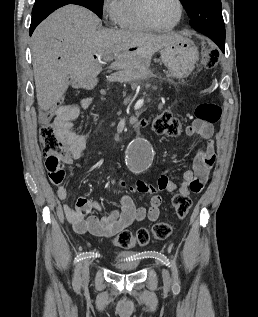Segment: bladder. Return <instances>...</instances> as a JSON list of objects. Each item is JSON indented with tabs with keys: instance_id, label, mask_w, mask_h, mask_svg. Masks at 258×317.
Wrapping results in <instances>:
<instances>
[{
	"instance_id": "31cf9c89",
	"label": "bladder",
	"mask_w": 258,
	"mask_h": 317,
	"mask_svg": "<svg viewBox=\"0 0 258 317\" xmlns=\"http://www.w3.org/2000/svg\"><path fill=\"white\" fill-rule=\"evenodd\" d=\"M112 259L114 265L123 270H135L141 263L139 252H119Z\"/></svg>"
}]
</instances>
